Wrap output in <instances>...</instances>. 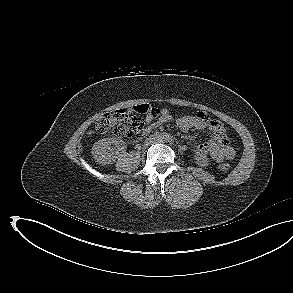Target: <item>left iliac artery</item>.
Returning <instances> with one entry per match:
<instances>
[{
    "mask_svg": "<svg viewBox=\"0 0 293 293\" xmlns=\"http://www.w3.org/2000/svg\"><path fill=\"white\" fill-rule=\"evenodd\" d=\"M168 142L173 143L174 142L173 137H168Z\"/></svg>",
    "mask_w": 293,
    "mask_h": 293,
    "instance_id": "44dca946",
    "label": "left iliac artery"
}]
</instances>
